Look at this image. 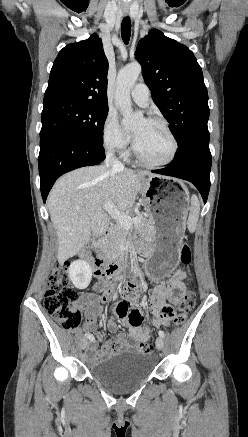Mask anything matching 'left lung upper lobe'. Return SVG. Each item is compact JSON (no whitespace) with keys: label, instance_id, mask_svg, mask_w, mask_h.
Listing matches in <instances>:
<instances>
[{"label":"left lung upper lobe","instance_id":"obj_1","mask_svg":"<svg viewBox=\"0 0 248 437\" xmlns=\"http://www.w3.org/2000/svg\"><path fill=\"white\" fill-rule=\"evenodd\" d=\"M135 57L155 104L170 123L178 152L207 132L208 94L193 52L157 29L140 40Z\"/></svg>","mask_w":248,"mask_h":437}]
</instances>
